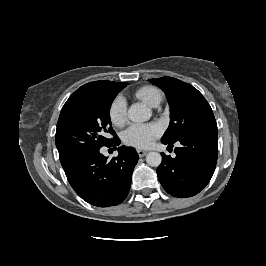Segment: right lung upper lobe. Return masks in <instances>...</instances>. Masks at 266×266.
<instances>
[{"instance_id":"obj_1","label":"right lung upper lobe","mask_w":266,"mask_h":266,"mask_svg":"<svg viewBox=\"0 0 266 266\" xmlns=\"http://www.w3.org/2000/svg\"><path fill=\"white\" fill-rule=\"evenodd\" d=\"M113 81H95V82H90V83H87L83 86H81L79 89H77L70 97L69 99L67 100V102L64 104H68L70 103L71 101L77 99V98H80V97H83V96H86L88 94H90L91 92L99 89L100 87L106 85V84H109ZM70 165H66L63 167L64 170H66Z\"/></svg>"}]
</instances>
